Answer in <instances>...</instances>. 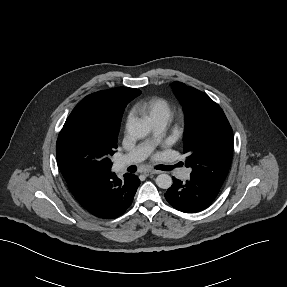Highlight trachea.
I'll return each instance as SVG.
<instances>
[{"mask_svg": "<svg viewBox=\"0 0 287 287\" xmlns=\"http://www.w3.org/2000/svg\"><path fill=\"white\" fill-rule=\"evenodd\" d=\"M156 169H158V170H163V171H169V170L172 169V166H164V165H162V166L156 167ZM136 170H137V167H136V166H130V167L128 168V171H130V172H136Z\"/></svg>", "mask_w": 287, "mask_h": 287, "instance_id": "trachea-1", "label": "trachea"}]
</instances>
